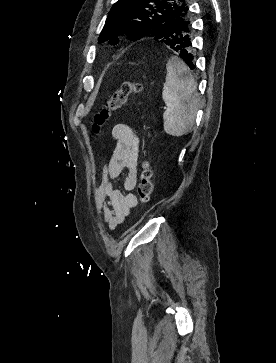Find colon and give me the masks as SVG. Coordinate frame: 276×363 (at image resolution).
<instances>
[{"instance_id": "1", "label": "colon", "mask_w": 276, "mask_h": 363, "mask_svg": "<svg viewBox=\"0 0 276 363\" xmlns=\"http://www.w3.org/2000/svg\"><path fill=\"white\" fill-rule=\"evenodd\" d=\"M142 90L141 84L137 82H124L111 94L107 105L94 119V130L99 131L100 127L110 118L111 113L124 108L127 104L128 97L132 93H139ZM138 198L141 203H148L153 192L152 172L147 162L141 166L140 180L138 184Z\"/></svg>"}]
</instances>
